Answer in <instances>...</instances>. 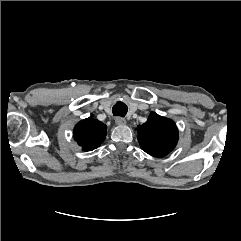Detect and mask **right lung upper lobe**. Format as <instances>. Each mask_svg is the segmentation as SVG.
I'll list each match as a JSON object with an SVG mask.
<instances>
[{"label": "right lung upper lobe", "instance_id": "right-lung-upper-lobe-1", "mask_svg": "<svg viewBox=\"0 0 241 241\" xmlns=\"http://www.w3.org/2000/svg\"><path fill=\"white\" fill-rule=\"evenodd\" d=\"M107 127L99 120L87 118L74 128V139L87 152L96 149L104 141Z\"/></svg>", "mask_w": 241, "mask_h": 241}]
</instances>
